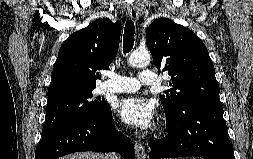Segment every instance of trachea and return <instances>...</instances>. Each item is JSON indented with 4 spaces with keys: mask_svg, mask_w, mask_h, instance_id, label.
<instances>
[{
    "mask_svg": "<svg viewBox=\"0 0 253 159\" xmlns=\"http://www.w3.org/2000/svg\"><path fill=\"white\" fill-rule=\"evenodd\" d=\"M134 34L135 27L132 20L126 22L124 28V37H123V52L126 54L131 51L134 45Z\"/></svg>",
    "mask_w": 253,
    "mask_h": 159,
    "instance_id": "trachea-1",
    "label": "trachea"
}]
</instances>
